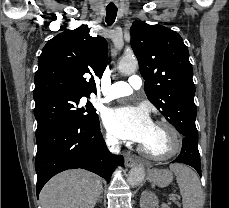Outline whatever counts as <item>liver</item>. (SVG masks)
<instances>
[{"label":"liver","mask_w":229,"mask_h":208,"mask_svg":"<svg viewBox=\"0 0 229 208\" xmlns=\"http://www.w3.org/2000/svg\"><path fill=\"white\" fill-rule=\"evenodd\" d=\"M103 190L99 176L68 170L49 180L39 194L42 208H94Z\"/></svg>","instance_id":"1"}]
</instances>
